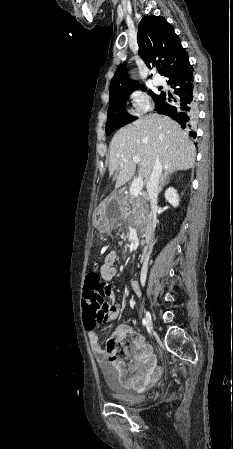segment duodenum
<instances>
[{
    "label": "duodenum",
    "mask_w": 233,
    "mask_h": 449,
    "mask_svg": "<svg viewBox=\"0 0 233 449\" xmlns=\"http://www.w3.org/2000/svg\"><path fill=\"white\" fill-rule=\"evenodd\" d=\"M150 255H151V250H150V249L145 250V251L142 252L141 255H140L141 261H143V262H148L149 259H150ZM133 292H134V291H133Z\"/></svg>",
    "instance_id": "1"
}]
</instances>
